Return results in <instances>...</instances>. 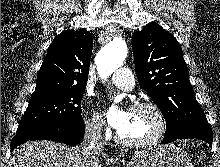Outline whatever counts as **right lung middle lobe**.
<instances>
[{"label": "right lung middle lobe", "instance_id": "1", "mask_svg": "<svg viewBox=\"0 0 220 167\" xmlns=\"http://www.w3.org/2000/svg\"><path fill=\"white\" fill-rule=\"evenodd\" d=\"M85 87H68L52 94L32 98L16 133L82 125L84 121L80 103Z\"/></svg>", "mask_w": 220, "mask_h": 167}]
</instances>
